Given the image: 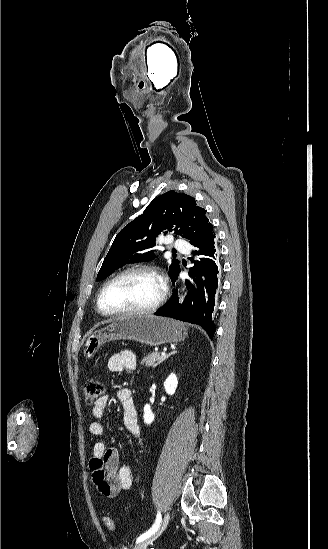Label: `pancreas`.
<instances>
[{"label":"pancreas","instance_id":"1","mask_svg":"<svg viewBox=\"0 0 328 549\" xmlns=\"http://www.w3.org/2000/svg\"><path fill=\"white\" fill-rule=\"evenodd\" d=\"M167 357H160V353H149L147 357H144L143 361H141V365H145V367H157V365H160V363H163Z\"/></svg>","mask_w":328,"mask_h":549}]
</instances>
